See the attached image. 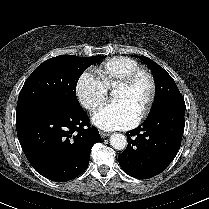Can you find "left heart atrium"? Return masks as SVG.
Listing matches in <instances>:
<instances>
[{
	"label": "left heart atrium",
	"mask_w": 209,
	"mask_h": 209,
	"mask_svg": "<svg viewBox=\"0 0 209 209\" xmlns=\"http://www.w3.org/2000/svg\"><path fill=\"white\" fill-rule=\"evenodd\" d=\"M138 115L124 101L104 106L92 118L93 123L100 129L112 131L127 129L137 122Z\"/></svg>",
	"instance_id": "39dd6f15"
}]
</instances>
